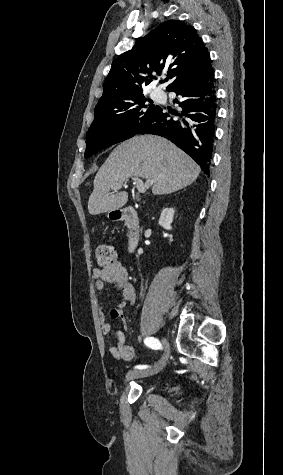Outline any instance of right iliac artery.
<instances>
[{
	"label": "right iliac artery",
	"mask_w": 283,
	"mask_h": 475,
	"mask_svg": "<svg viewBox=\"0 0 283 475\" xmlns=\"http://www.w3.org/2000/svg\"><path fill=\"white\" fill-rule=\"evenodd\" d=\"M144 343L152 349H155V350L162 349L161 343L159 342L158 339H156L154 337L146 338L144 340ZM147 367H148L147 365H139V366H136L135 368L144 369V368H147Z\"/></svg>",
	"instance_id": "obj_1"
}]
</instances>
